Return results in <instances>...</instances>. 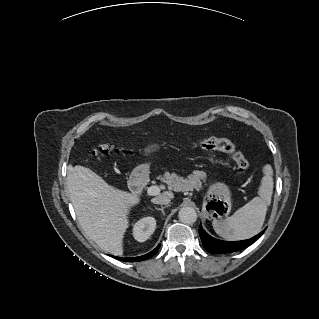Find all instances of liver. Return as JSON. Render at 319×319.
Here are the masks:
<instances>
[{
	"mask_svg": "<svg viewBox=\"0 0 319 319\" xmlns=\"http://www.w3.org/2000/svg\"><path fill=\"white\" fill-rule=\"evenodd\" d=\"M67 189L80 227L103 251L123 254L128 214L140 198L108 185L88 168L74 167L67 176ZM173 198L172 192H165Z\"/></svg>",
	"mask_w": 319,
	"mask_h": 319,
	"instance_id": "6515ba94",
	"label": "liver"
}]
</instances>
